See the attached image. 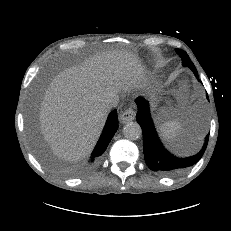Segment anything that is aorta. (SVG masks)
Returning a JSON list of instances; mask_svg holds the SVG:
<instances>
[{
	"mask_svg": "<svg viewBox=\"0 0 231 231\" xmlns=\"http://www.w3.org/2000/svg\"><path fill=\"white\" fill-rule=\"evenodd\" d=\"M123 134L129 140H136L142 135V129L137 122H130L124 126Z\"/></svg>",
	"mask_w": 231,
	"mask_h": 231,
	"instance_id": "aorta-1",
	"label": "aorta"
}]
</instances>
